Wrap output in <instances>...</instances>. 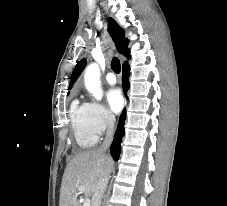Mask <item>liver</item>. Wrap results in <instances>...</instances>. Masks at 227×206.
Returning <instances> with one entry per match:
<instances>
[{
	"instance_id": "obj_1",
	"label": "liver",
	"mask_w": 227,
	"mask_h": 206,
	"mask_svg": "<svg viewBox=\"0 0 227 206\" xmlns=\"http://www.w3.org/2000/svg\"><path fill=\"white\" fill-rule=\"evenodd\" d=\"M113 161L99 150L84 151L76 154L67 164L60 189L59 206H80L77 200L79 193L92 196L103 175L108 176ZM83 186L84 191L78 187Z\"/></svg>"
}]
</instances>
